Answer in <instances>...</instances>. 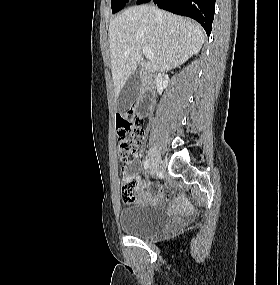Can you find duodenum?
<instances>
[{"label": "duodenum", "mask_w": 280, "mask_h": 285, "mask_svg": "<svg viewBox=\"0 0 280 285\" xmlns=\"http://www.w3.org/2000/svg\"><path fill=\"white\" fill-rule=\"evenodd\" d=\"M150 92H151V83H147L143 89V94L140 102L138 103V107L141 108V113L144 116L148 115L149 107H150Z\"/></svg>", "instance_id": "1"}]
</instances>
